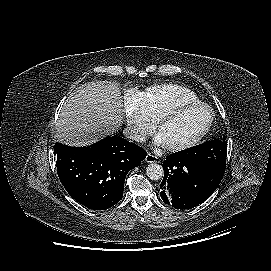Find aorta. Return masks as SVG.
<instances>
[{"label": "aorta", "mask_w": 271, "mask_h": 271, "mask_svg": "<svg viewBox=\"0 0 271 271\" xmlns=\"http://www.w3.org/2000/svg\"><path fill=\"white\" fill-rule=\"evenodd\" d=\"M146 174L151 180H158L163 176L164 171L161 165L152 163L148 165Z\"/></svg>", "instance_id": "1"}]
</instances>
